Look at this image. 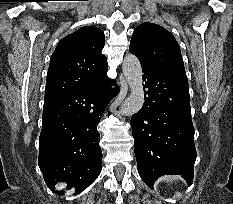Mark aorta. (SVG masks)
<instances>
[{
	"label": "aorta",
	"mask_w": 233,
	"mask_h": 204,
	"mask_svg": "<svg viewBox=\"0 0 233 204\" xmlns=\"http://www.w3.org/2000/svg\"><path fill=\"white\" fill-rule=\"evenodd\" d=\"M122 70L131 92L123 102L119 113L123 116H132L137 113L144 104L142 67L139 59L133 54L126 55Z\"/></svg>",
	"instance_id": "762f6f07"
}]
</instances>
